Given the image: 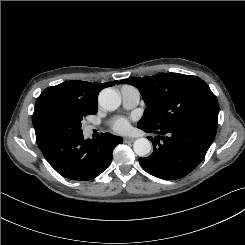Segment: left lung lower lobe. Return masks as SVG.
I'll return each mask as SVG.
<instances>
[{"instance_id":"left-lung-lower-lobe-1","label":"left lung lower lobe","mask_w":245,"mask_h":245,"mask_svg":"<svg viewBox=\"0 0 245 245\" xmlns=\"http://www.w3.org/2000/svg\"><path fill=\"white\" fill-rule=\"evenodd\" d=\"M142 130L154 132L158 137L155 140L148 137L154 146L153 153L140 158L139 163L148 173L166 180L181 178L194 170L204 159L216 135V128L200 122Z\"/></svg>"}]
</instances>
